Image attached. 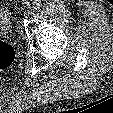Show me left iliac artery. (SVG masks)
Masks as SVG:
<instances>
[{"mask_svg":"<svg viewBox=\"0 0 113 113\" xmlns=\"http://www.w3.org/2000/svg\"><path fill=\"white\" fill-rule=\"evenodd\" d=\"M41 6H42V3L40 0L34 1V3H33L34 10H38Z\"/></svg>","mask_w":113,"mask_h":113,"instance_id":"44dca946","label":"left iliac artery"}]
</instances>
